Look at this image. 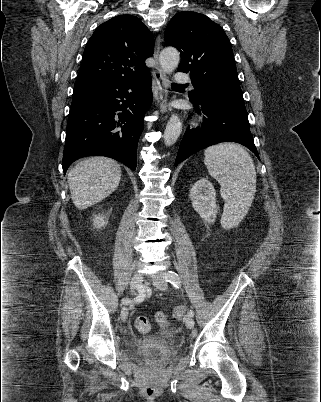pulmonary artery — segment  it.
Returning <instances> with one entry per match:
<instances>
[{
	"label": "pulmonary artery",
	"mask_w": 321,
	"mask_h": 402,
	"mask_svg": "<svg viewBox=\"0 0 321 402\" xmlns=\"http://www.w3.org/2000/svg\"><path fill=\"white\" fill-rule=\"evenodd\" d=\"M191 81V78L188 74L185 73H177L175 75V82L177 84H187Z\"/></svg>",
	"instance_id": "pulmonary-artery-1"
}]
</instances>
